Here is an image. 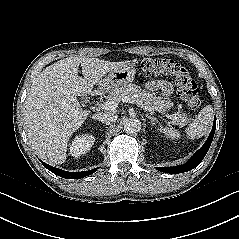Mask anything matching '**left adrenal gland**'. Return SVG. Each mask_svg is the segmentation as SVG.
Segmentation results:
<instances>
[{
    "label": "left adrenal gland",
    "instance_id": "a2214340",
    "mask_svg": "<svg viewBox=\"0 0 239 239\" xmlns=\"http://www.w3.org/2000/svg\"><path fill=\"white\" fill-rule=\"evenodd\" d=\"M146 117L151 120L152 125L155 126L156 124H159V126L161 127V124H160V122L158 121L157 118H155V117L149 115L148 113L146 114Z\"/></svg>",
    "mask_w": 239,
    "mask_h": 239
}]
</instances>
